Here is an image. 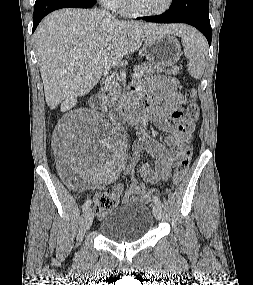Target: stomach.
Here are the masks:
<instances>
[{
    "label": "stomach",
    "mask_w": 253,
    "mask_h": 285,
    "mask_svg": "<svg viewBox=\"0 0 253 285\" xmlns=\"http://www.w3.org/2000/svg\"><path fill=\"white\" fill-rule=\"evenodd\" d=\"M142 51L151 64L162 67L176 64L182 55L178 40L170 33L147 37L143 42Z\"/></svg>",
    "instance_id": "0dacf381"
}]
</instances>
